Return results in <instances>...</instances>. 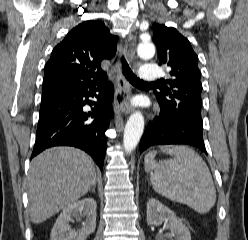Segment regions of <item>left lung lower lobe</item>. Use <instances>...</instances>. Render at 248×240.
I'll list each match as a JSON object with an SVG mask.
<instances>
[{
  "label": "left lung lower lobe",
  "instance_id": "0a47b994",
  "mask_svg": "<svg viewBox=\"0 0 248 240\" xmlns=\"http://www.w3.org/2000/svg\"><path fill=\"white\" fill-rule=\"evenodd\" d=\"M203 121L198 116L176 117L160 111L149 122L140 141V152L155 145L182 144L198 148L205 154Z\"/></svg>",
  "mask_w": 248,
  "mask_h": 240
}]
</instances>
